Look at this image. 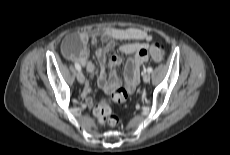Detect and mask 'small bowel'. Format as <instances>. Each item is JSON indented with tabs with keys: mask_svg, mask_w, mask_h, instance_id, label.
<instances>
[{
	"mask_svg": "<svg viewBox=\"0 0 230 155\" xmlns=\"http://www.w3.org/2000/svg\"><path fill=\"white\" fill-rule=\"evenodd\" d=\"M76 39L81 42L79 48L72 46ZM151 39L150 33L138 28H96L67 36L63 41L62 51L69 61L85 67L89 74H94L96 66L88 59L87 44H96L99 40L102 41L104 46L95 51V57L100 67L98 84L104 92L110 95L113 102L122 103L133 93L139 82L140 70L149 59L148 42ZM117 41H128L122 44L119 49L124 54L132 55V58L125 65L123 86L113 71V68L120 64V57L114 55L110 58L109 68L111 71L108 75L104 70L106 55L114 49ZM91 91L90 85L85 84L83 98L89 108L93 106L90 98Z\"/></svg>",
	"mask_w": 230,
	"mask_h": 155,
	"instance_id": "c3829d8e",
	"label": "small bowel"
}]
</instances>
